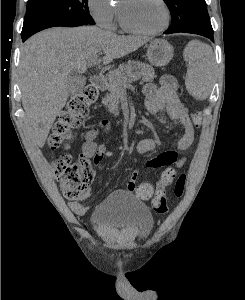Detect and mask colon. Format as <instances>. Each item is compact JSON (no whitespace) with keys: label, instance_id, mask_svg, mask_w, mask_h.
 Returning <instances> with one entry per match:
<instances>
[{"label":"colon","instance_id":"colon-1","mask_svg":"<svg viewBox=\"0 0 245 300\" xmlns=\"http://www.w3.org/2000/svg\"><path fill=\"white\" fill-rule=\"evenodd\" d=\"M97 95V89L92 85H87L70 98L53 126V132L49 139L52 149L66 147L74 138L75 130L81 125V119L88 114L89 107L96 100ZM192 120L195 126L201 124L202 114L199 110L192 113ZM89 165L90 161L85 158H81L80 161H73L67 155L54 158V174L67 198L77 199L83 194L92 179ZM185 185L186 176L181 174L178 176L174 187L176 197L183 195ZM136 194L142 199L153 197L151 205L156 213L165 214L168 212L165 190H156L154 194L153 186L148 182H143L137 186Z\"/></svg>","mask_w":245,"mask_h":300}]
</instances>
